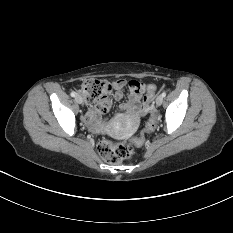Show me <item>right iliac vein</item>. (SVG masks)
I'll return each mask as SVG.
<instances>
[{
  "instance_id": "63e3f726",
  "label": "right iliac vein",
  "mask_w": 233,
  "mask_h": 233,
  "mask_svg": "<svg viewBox=\"0 0 233 233\" xmlns=\"http://www.w3.org/2000/svg\"><path fill=\"white\" fill-rule=\"evenodd\" d=\"M75 100L77 101V103L82 104L83 103V98L80 95H76L75 96Z\"/></svg>"
}]
</instances>
